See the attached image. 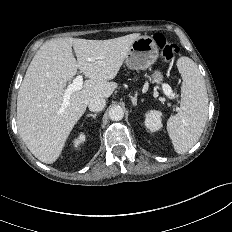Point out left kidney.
I'll return each instance as SVG.
<instances>
[{"instance_id": "obj_1", "label": "left kidney", "mask_w": 232, "mask_h": 232, "mask_svg": "<svg viewBox=\"0 0 232 232\" xmlns=\"http://www.w3.org/2000/svg\"><path fill=\"white\" fill-rule=\"evenodd\" d=\"M145 125L150 131H157L162 127V113L150 110L145 114Z\"/></svg>"}]
</instances>
